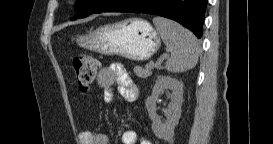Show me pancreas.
Returning <instances> with one entry per match:
<instances>
[{
    "instance_id": "1",
    "label": "pancreas",
    "mask_w": 273,
    "mask_h": 144,
    "mask_svg": "<svg viewBox=\"0 0 273 144\" xmlns=\"http://www.w3.org/2000/svg\"><path fill=\"white\" fill-rule=\"evenodd\" d=\"M134 73H135L138 77L143 78V79H145V78H147V77H149V76L152 75L151 69H148V68L143 69L142 67H139V66H136V67L134 68Z\"/></svg>"
}]
</instances>
